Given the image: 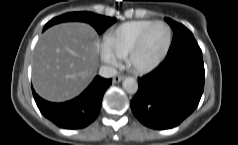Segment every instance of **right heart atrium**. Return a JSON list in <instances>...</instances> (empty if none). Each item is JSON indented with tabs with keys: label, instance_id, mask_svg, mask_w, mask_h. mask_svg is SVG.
<instances>
[{
	"label": "right heart atrium",
	"instance_id": "right-heart-atrium-1",
	"mask_svg": "<svg viewBox=\"0 0 238 145\" xmlns=\"http://www.w3.org/2000/svg\"><path fill=\"white\" fill-rule=\"evenodd\" d=\"M100 56L108 67L114 68L119 64L118 57L105 46L101 48Z\"/></svg>",
	"mask_w": 238,
	"mask_h": 145
}]
</instances>
